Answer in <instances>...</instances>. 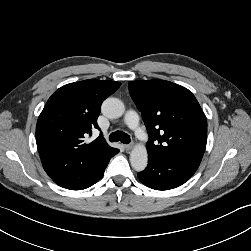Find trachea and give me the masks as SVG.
Masks as SVG:
<instances>
[{
  "label": "trachea",
  "mask_w": 251,
  "mask_h": 251,
  "mask_svg": "<svg viewBox=\"0 0 251 251\" xmlns=\"http://www.w3.org/2000/svg\"><path fill=\"white\" fill-rule=\"evenodd\" d=\"M109 140L111 142L121 141L124 144H129L131 141L130 136L123 131H115V132L111 133L109 136Z\"/></svg>",
  "instance_id": "3493384b"
}]
</instances>
